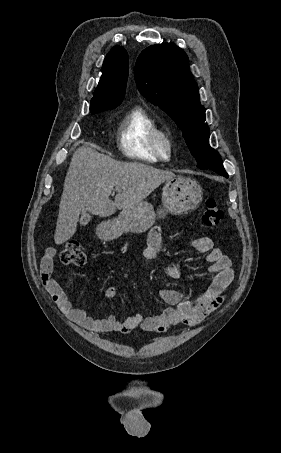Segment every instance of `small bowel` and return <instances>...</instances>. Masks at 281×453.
I'll use <instances>...</instances> for the list:
<instances>
[{
    "label": "small bowel",
    "mask_w": 281,
    "mask_h": 453,
    "mask_svg": "<svg viewBox=\"0 0 281 453\" xmlns=\"http://www.w3.org/2000/svg\"><path fill=\"white\" fill-rule=\"evenodd\" d=\"M161 244L160 228L158 226L152 227L148 233L144 251L147 262L158 257ZM189 246L195 254H207L209 270L215 276L214 281L207 293L194 299H186L179 290L158 288V298L171 305V308H165L157 316L143 317L140 314H134L123 320H118L115 314H109L107 317L100 318L74 306L64 288L53 278L54 259L56 257V251L53 249L47 250L41 257V278L67 316L81 327L94 333L129 334L135 328H141L147 332L163 333L179 323L189 326L200 323L208 313L222 305L225 291L234 276L231 260L218 249L213 248L210 239L196 238L189 242ZM158 274L167 278L178 279L182 274V268L180 265L172 263L159 270ZM118 293L117 287L109 286L104 290L103 297L108 301H113Z\"/></svg>",
    "instance_id": "c3829d8e"
}]
</instances>
